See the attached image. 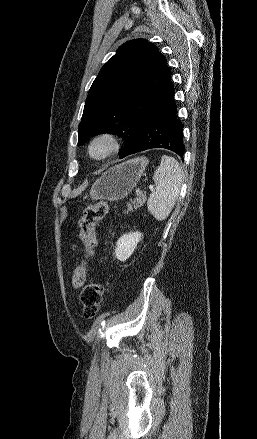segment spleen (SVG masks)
I'll use <instances>...</instances> for the list:
<instances>
[{
	"label": "spleen",
	"mask_w": 257,
	"mask_h": 439,
	"mask_svg": "<svg viewBox=\"0 0 257 439\" xmlns=\"http://www.w3.org/2000/svg\"><path fill=\"white\" fill-rule=\"evenodd\" d=\"M153 180L155 190L150 194L147 208L156 220L163 221L171 213L183 182L179 163L173 157L163 155Z\"/></svg>",
	"instance_id": "1"
}]
</instances>
